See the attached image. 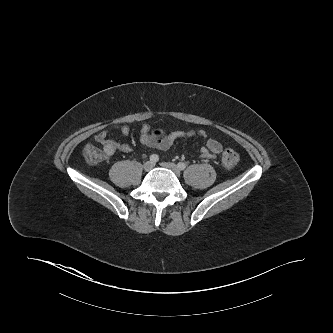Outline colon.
<instances>
[{
	"label": "colon",
	"instance_id": "obj_1",
	"mask_svg": "<svg viewBox=\"0 0 333 333\" xmlns=\"http://www.w3.org/2000/svg\"><path fill=\"white\" fill-rule=\"evenodd\" d=\"M155 136H160L162 133L155 131ZM83 156L86 162L90 164H97L101 162L106 156L105 145L102 143L88 144L83 150ZM239 161V155L233 149H226L222 154V162L227 167L235 166Z\"/></svg>",
	"mask_w": 333,
	"mask_h": 333
}]
</instances>
